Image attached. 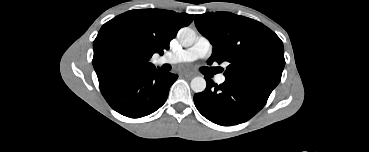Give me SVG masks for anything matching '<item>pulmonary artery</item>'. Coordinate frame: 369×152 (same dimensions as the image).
Returning <instances> with one entry per match:
<instances>
[{
	"label": "pulmonary artery",
	"mask_w": 369,
	"mask_h": 152,
	"mask_svg": "<svg viewBox=\"0 0 369 152\" xmlns=\"http://www.w3.org/2000/svg\"><path fill=\"white\" fill-rule=\"evenodd\" d=\"M211 53L212 45L210 41L206 37L200 36L192 47L175 53H168L162 58V61L168 63L191 62L198 58L209 57ZM216 82L219 84L224 83L225 76L219 74L216 77Z\"/></svg>",
	"instance_id": "e3ab8cb5"
}]
</instances>
